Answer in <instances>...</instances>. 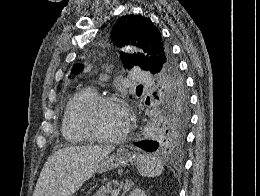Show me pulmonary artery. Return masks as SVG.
<instances>
[{
  "label": "pulmonary artery",
  "mask_w": 260,
  "mask_h": 196,
  "mask_svg": "<svg viewBox=\"0 0 260 196\" xmlns=\"http://www.w3.org/2000/svg\"><path fill=\"white\" fill-rule=\"evenodd\" d=\"M132 77H135V84H154L151 72H141V69H132Z\"/></svg>",
  "instance_id": "e3ab8cb5"
}]
</instances>
